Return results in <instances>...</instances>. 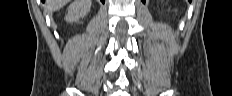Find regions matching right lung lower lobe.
Listing matches in <instances>:
<instances>
[{"mask_svg":"<svg viewBox=\"0 0 232 96\" xmlns=\"http://www.w3.org/2000/svg\"><path fill=\"white\" fill-rule=\"evenodd\" d=\"M45 0H42V2H44ZM105 0H101L102 3H104Z\"/></svg>","mask_w":232,"mask_h":96,"instance_id":"98d812e1","label":"right lung lower lobe"}]
</instances>
